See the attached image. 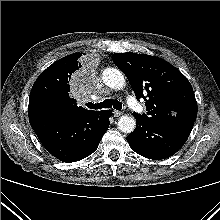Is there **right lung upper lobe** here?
Returning a JSON list of instances; mask_svg holds the SVG:
<instances>
[{"label":"right lung upper lobe","mask_w":220,"mask_h":220,"mask_svg":"<svg viewBox=\"0 0 220 220\" xmlns=\"http://www.w3.org/2000/svg\"><path fill=\"white\" fill-rule=\"evenodd\" d=\"M82 53L70 54L50 65L35 81L29 96L28 114L49 110L70 116H81L93 111L77 106L69 96L70 79L82 66Z\"/></svg>","instance_id":"obj_1"}]
</instances>
